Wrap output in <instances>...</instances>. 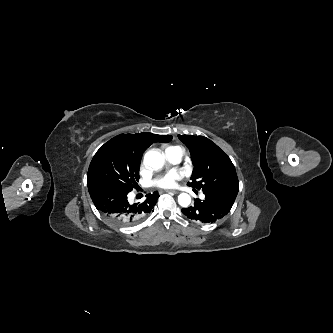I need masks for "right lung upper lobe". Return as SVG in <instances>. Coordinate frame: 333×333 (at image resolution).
I'll return each mask as SVG.
<instances>
[{
    "instance_id": "1",
    "label": "right lung upper lobe",
    "mask_w": 333,
    "mask_h": 333,
    "mask_svg": "<svg viewBox=\"0 0 333 333\" xmlns=\"http://www.w3.org/2000/svg\"><path fill=\"white\" fill-rule=\"evenodd\" d=\"M172 136L152 133L120 134L103 146H110L123 151L131 160L140 164L143 152L154 142H169Z\"/></svg>"
}]
</instances>
